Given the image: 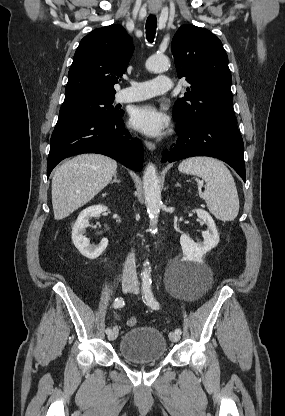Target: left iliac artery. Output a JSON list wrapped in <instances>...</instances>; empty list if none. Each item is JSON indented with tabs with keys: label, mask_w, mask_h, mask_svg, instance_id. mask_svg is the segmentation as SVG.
<instances>
[{
	"label": "left iliac artery",
	"mask_w": 285,
	"mask_h": 416,
	"mask_svg": "<svg viewBox=\"0 0 285 416\" xmlns=\"http://www.w3.org/2000/svg\"><path fill=\"white\" fill-rule=\"evenodd\" d=\"M151 278L149 275L145 274L143 276V282H142V288H143V293H144V303L151 307L152 309H159V303L158 301H156V299L154 298L153 292H152V288H151ZM176 334H181V329L177 328L175 330Z\"/></svg>",
	"instance_id": "44dca946"
}]
</instances>
